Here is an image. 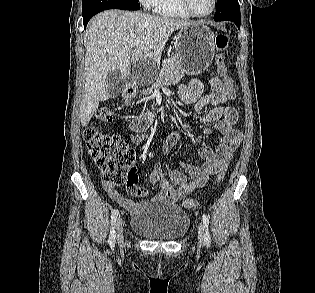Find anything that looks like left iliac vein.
Segmentation results:
<instances>
[{
	"label": "left iliac vein",
	"mask_w": 315,
	"mask_h": 293,
	"mask_svg": "<svg viewBox=\"0 0 315 293\" xmlns=\"http://www.w3.org/2000/svg\"><path fill=\"white\" fill-rule=\"evenodd\" d=\"M205 226L201 223L198 229V241L199 245L202 246L204 243Z\"/></svg>",
	"instance_id": "obj_1"
}]
</instances>
